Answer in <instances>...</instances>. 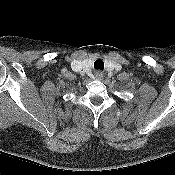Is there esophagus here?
<instances>
[{
	"instance_id": "34e87169",
	"label": "esophagus",
	"mask_w": 175,
	"mask_h": 175,
	"mask_svg": "<svg viewBox=\"0 0 175 175\" xmlns=\"http://www.w3.org/2000/svg\"><path fill=\"white\" fill-rule=\"evenodd\" d=\"M95 78L97 80H101L103 78V74L100 71L95 72Z\"/></svg>"
}]
</instances>
